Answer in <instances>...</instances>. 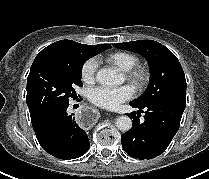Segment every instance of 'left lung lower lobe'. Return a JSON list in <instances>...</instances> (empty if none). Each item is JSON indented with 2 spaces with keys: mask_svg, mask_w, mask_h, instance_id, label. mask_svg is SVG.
Returning a JSON list of instances; mask_svg holds the SVG:
<instances>
[{
  "mask_svg": "<svg viewBox=\"0 0 209 179\" xmlns=\"http://www.w3.org/2000/svg\"><path fill=\"white\" fill-rule=\"evenodd\" d=\"M129 104L140 110L137 116L135 112L129 114L133 119V127L121 135L124 151L140 160L159 156L167 149L179 129L186 98H170L144 106L132 101ZM143 109L146 111L142 123L138 114Z\"/></svg>",
  "mask_w": 209,
  "mask_h": 179,
  "instance_id": "1",
  "label": "left lung lower lobe"
}]
</instances>
